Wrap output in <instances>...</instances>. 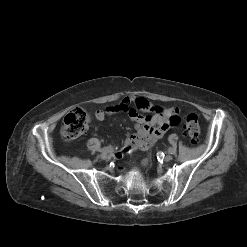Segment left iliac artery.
Listing matches in <instances>:
<instances>
[{
    "label": "left iliac artery",
    "mask_w": 247,
    "mask_h": 247,
    "mask_svg": "<svg viewBox=\"0 0 247 247\" xmlns=\"http://www.w3.org/2000/svg\"><path fill=\"white\" fill-rule=\"evenodd\" d=\"M168 152L171 153V154H174L176 152V150L174 148H169Z\"/></svg>",
    "instance_id": "obj_1"
}]
</instances>
